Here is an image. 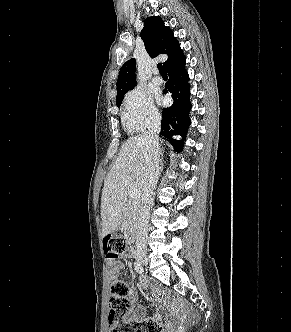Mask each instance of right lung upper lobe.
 Segmentation results:
<instances>
[{"mask_svg": "<svg viewBox=\"0 0 291 332\" xmlns=\"http://www.w3.org/2000/svg\"><path fill=\"white\" fill-rule=\"evenodd\" d=\"M141 38L151 58L160 54L168 56L167 61L163 64L165 69L184 56L173 32L164 26V22L160 17L152 16L145 20ZM135 70L136 65L133 58L125 62L121 67L117 80L116 102L122 100L125 93L136 85Z\"/></svg>", "mask_w": 291, "mask_h": 332, "instance_id": "cb5924a9", "label": "right lung upper lobe"}]
</instances>
